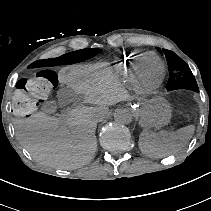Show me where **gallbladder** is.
I'll list each match as a JSON object with an SVG mask.
<instances>
[{
  "label": "gallbladder",
  "mask_w": 211,
  "mask_h": 211,
  "mask_svg": "<svg viewBox=\"0 0 211 211\" xmlns=\"http://www.w3.org/2000/svg\"><path fill=\"white\" fill-rule=\"evenodd\" d=\"M77 99L76 92L70 87H62L57 92V107H62L67 103L73 102Z\"/></svg>",
  "instance_id": "1"
}]
</instances>
